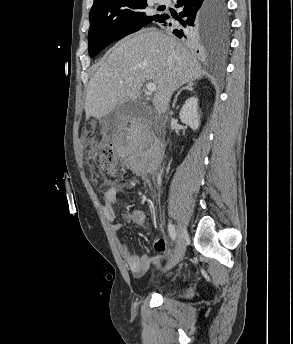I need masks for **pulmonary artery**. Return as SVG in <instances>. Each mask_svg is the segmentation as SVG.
I'll return each mask as SVG.
<instances>
[{"label": "pulmonary artery", "mask_w": 293, "mask_h": 344, "mask_svg": "<svg viewBox=\"0 0 293 344\" xmlns=\"http://www.w3.org/2000/svg\"><path fill=\"white\" fill-rule=\"evenodd\" d=\"M158 3H160V4H165V3H167L168 2V0H156Z\"/></svg>", "instance_id": "1"}]
</instances>
